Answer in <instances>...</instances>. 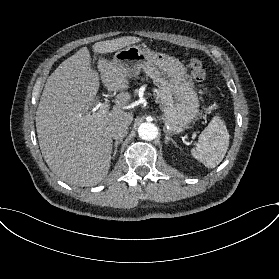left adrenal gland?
Here are the masks:
<instances>
[{
	"label": "left adrenal gland",
	"instance_id": "left-adrenal-gland-1",
	"mask_svg": "<svg viewBox=\"0 0 279 279\" xmlns=\"http://www.w3.org/2000/svg\"><path fill=\"white\" fill-rule=\"evenodd\" d=\"M169 142H173V144L177 146L176 142L167 134L165 138V144L168 145Z\"/></svg>",
	"mask_w": 279,
	"mask_h": 279
}]
</instances>
